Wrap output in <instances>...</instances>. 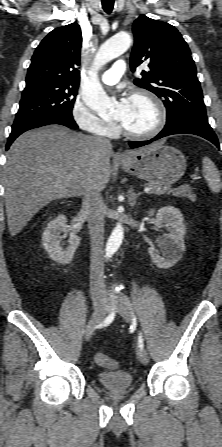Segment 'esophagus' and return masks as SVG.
Segmentation results:
<instances>
[{
    "instance_id": "esophagus-1",
    "label": "esophagus",
    "mask_w": 222,
    "mask_h": 447,
    "mask_svg": "<svg viewBox=\"0 0 222 447\" xmlns=\"http://www.w3.org/2000/svg\"><path fill=\"white\" fill-rule=\"evenodd\" d=\"M123 158V156L122 155H119V159H122Z\"/></svg>"
}]
</instances>
